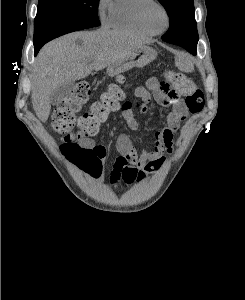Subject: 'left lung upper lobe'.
Here are the masks:
<instances>
[{
    "label": "left lung upper lobe",
    "mask_w": 245,
    "mask_h": 300,
    "mask_svg": "<svg viewBox=\"0 0 245 300\" xmlns=\"http://www.w3.org/2000/svg\"><path fill=\"white\" fill-rule=\"evenodd\" d=\"M166 9L170 27L162 40L171 44L189 40L190 47L198 42L193 0H158Z\"/></svg>",
    "instance_id": "1"
}]
</instances>
